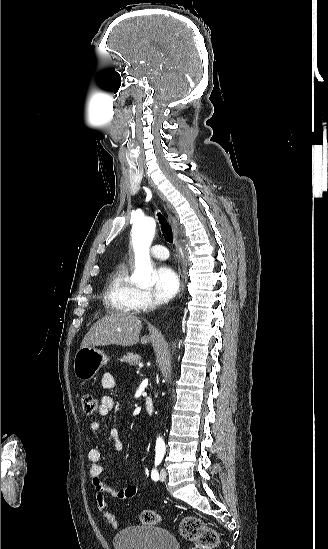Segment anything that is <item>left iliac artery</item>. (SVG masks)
Segmentation results:
<instances>
[{
  "label": "left iliac artery",
  "mask_w": 328,
  "mask_h": 549,
  "mask_svg": "<svg viewBox=\"0 0 328 549\" xmlns=\"http://www.w3.org/2000/svg\"><path fill=\"white\" fill-rule=\"evenodd\" d=\"M161 461H162V457H160L159 455H156V457H155V468L151 472V478L155 481H157L159 479V474H158V471H157L156 467L161 463Z\"/></svg>",
  "instance_id": "left-iliac-artery-1"
}]
</instances>
